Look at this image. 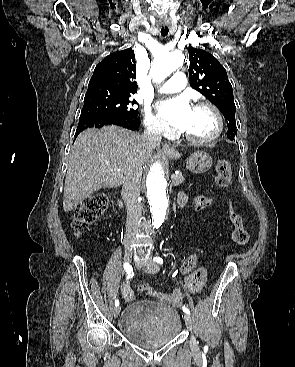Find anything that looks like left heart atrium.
Listing matches in <instances>:
<instances>
[{"label": "left heart atrium", "mask_w": 295, "mask_h": 367, "mask_svg": "<svg viewBox=\"0 0 295 367\" xmlns=\"http://www.w3.org/2000/svg\"><path fill=\"white\" fill-rule=\"evenodd\" d=\"M164 122L176 129L183 130L187 124L192 107L187 96H178L161 102L157 106Z\"/></svg>", "instance_id": "39dd6f15"}]
</instances>
